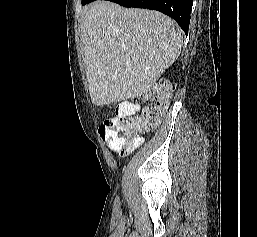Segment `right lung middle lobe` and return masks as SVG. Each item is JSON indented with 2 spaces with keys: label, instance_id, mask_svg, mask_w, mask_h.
Wrapping results in <instances>:
<instances>
[{
  "label": "right lung middle lobe",
  "instance_id": "dd1d6c3e",
  "mask_svg": "<svg viewBox=\"0 0 257 237\" xmlns=\"http://www.w3.org/2000/svg\"><path fill=\"white\" fill-rule=\"evenodd\" d=\"M92 1H95V0H82V5H85V4L90 3Z\"/></svg>",
  "mask_w": 257,
  "mask_h": 237
}]
</instances>
